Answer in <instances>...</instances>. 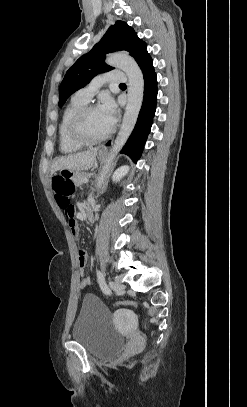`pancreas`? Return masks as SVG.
<instances>
[{"label":"pancreas","instance_id":"cf45deb5","mask_svg":"<svg viewBox=\"0 0 247 407\" xmlns=\"http://www.w3.org/2000/svg\"><path fill=\"white\" fill-rule=\"evenodd\" d=\"M90 176L89 173H79L74 179V183L76 186H81L84 184V180L87 179Z\"/></svg>","mask_w":247,"mask_h":407}]
</instances>
